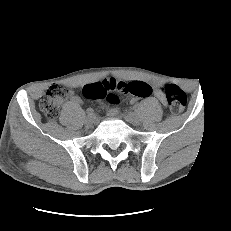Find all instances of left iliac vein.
<instances>
[{
	"mask_svg": "<svg viewBox=\"0 0 231 231\" xmlns=\"http://www.w3.org/2000/svg\"><path fill=\"white\" fill-rule=\"evenodd\" d=\"M125 119L134 126H138L141 124V119L139 118L137 114H134V113H128L125 116Z\"/></svg>",
	"mask_w": 231,
	"mask_h": 231,
	"instance_id": "obj_1",
	"label": "left iliac vein"
}]
</instances>
